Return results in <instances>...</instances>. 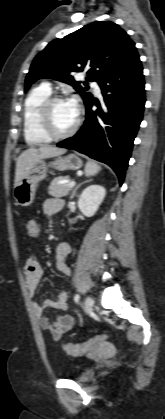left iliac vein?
I'll use <instances>...</instances> for the list:
<instances>
[{"instance_id": "obj_1", "label": "left iliac vein", "mask_w": 165, "mask_h": 419, "mask_svg": "<svg viewBox=\"0 0 165 419\" xmlns=\"http://www.w3.org/2000/svg\"><path fill=\"white\" fill-rule=\"evenodd\" d=\"M93 306H94V301L93 299L88 296L85 299V310L90 313L93 310Z\"/></svg>"}]
</instances>
